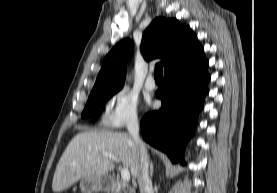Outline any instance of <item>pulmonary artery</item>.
<instances>
[{
    "instance_id": "obj_1",
    "label": "pulmonary artery",
    "mask_w": 277,
    "mask_h": 193,
    "mask_svg": "<svg viewBox=\"0 0 277 193\" xmlns=\"http://www.w3.org/2000/svg\"><path fill=\"white\" fill-rule=\"evenodd\" d=\"M155 87H156V84H155L154 78H153L152 75H149L146 79V82H145V88L147 90L152 91V90L155 89Z\"/></svg>"
}]
</instances>
